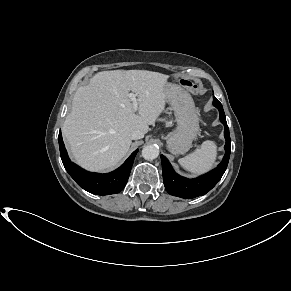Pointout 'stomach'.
Here are the masks:
<instances>
[{"mask_svg": "<svg viewBox=\"0 0 291 291\" xmlns=\"http://www.w3.org/2000/svg\"><path fill=\"white\" fill-rule=\"evenodd\" d=\"M166 100L174 110L177 127L166 136L173 154L186 153L199 132V121L191 95L181 85L167 83Z\"/></svg>", "mask_w": 291, "mask_h": 291, "instance_id": "0dacf381", "label": "stomach"}]
</instances>
